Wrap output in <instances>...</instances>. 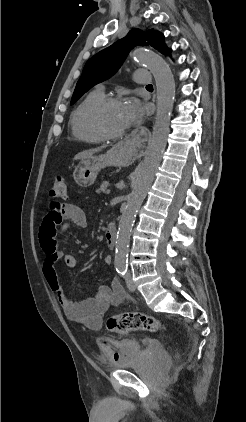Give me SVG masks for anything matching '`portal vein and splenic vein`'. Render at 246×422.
<instances>
[{
	"mask_svg": "<svg viewBox=\"0 0 246 422\" xmlns=\"http://www.w3.org/2000/svg\"><path fill=\"white\" fill-rule=\"evenodd\" d=\"M111 190L107 189L106 194H110Z\"/></svg>",
	"mask_w": 246,
	"mask_h": 422,
	"instance_id": "portal-vein-and-splenic-vein-1",
	"label": "portal vein and splenic vein"
}]
</instances>
